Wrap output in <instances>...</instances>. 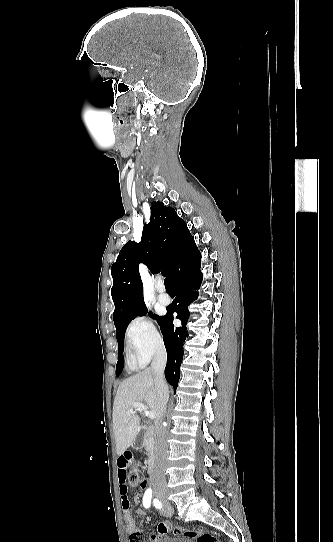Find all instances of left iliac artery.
Returning a JSON list of instances; mask_svg holds the SVG:
<instances>
[{
  "label": "left iliac artery",
  "instance_id": "44dca946",
  "mask_svg": "<svg viewBox=\"0 0 333 542\" xmlns=\"http://www.w3.org/2000/svg\"><path fill=\"white\" fill-rule=\"evenodd\" d=\"M154 506L156 508H159V509L162 507L161 503L159 501H156V500H154Z\"/></svg>",
  "mask_w": 333,
  "mask_h": 542
}]
</instances>
